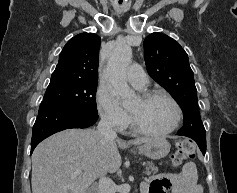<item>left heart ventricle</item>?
Instances as JSON below:
<instances>
[{
    "label": "left heart ventricle",
    "mask_w": 237,
    "mask_h": 193,
    "mask_svg": "<svg viewBox=\"0 0 237 193\" xmlns=\"http://www.w3.org/2000/svg\"><path fill=\"white\" fill-rule=\"evenodd\" d=\"M128 111L138 126L151 131L168 129L176 117L174 106L162 97L148 102L137 99L129 106Z\"/></svg>",
    "instance_id": "1"
}]
</instances>
